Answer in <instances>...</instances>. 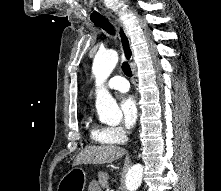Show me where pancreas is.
<instances>
[{"mask_svg":"<svg viewBox=\"0 0 221 191\" xmlns=\"http://www.w3.org/2000/svg\"><path fill=\"white\" fill-rule=\"evenodd\" d=\"M108 174L105 172H99L98 173V182L101 185L102 188L107 189L109 187L108 183Z\"/></svg>","mask_w":221,"mask_h":191,"instance_id":"cf45deb5","label":"pancreas"}]
</instances>
